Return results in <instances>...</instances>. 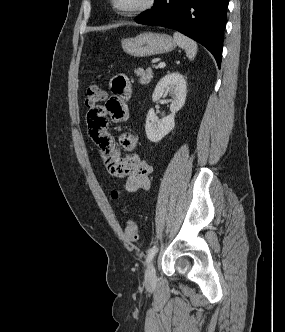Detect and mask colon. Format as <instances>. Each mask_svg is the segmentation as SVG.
<instances>
[{
  "mask_svg": "<svg viewBox=\"0 0 285 332\" xmlns=\"http://www.w3.org/2000/svg\"><path fill=\"white\" fill-rule=\"evenodd\" d=\"M84 95L87 107L93 109L98 107V105L105 99L106 92L101 85L94 83L86 88ZM111 196L112 198L117 199L119 197V192L113 190ZM125 234L130 241H136L139 238V226L137 222L132 220L129 221L125 227Z\"/></svg>",
  "mask_w": 285,
  "mask_h": 332,
  "instance_id": "5ec220e1",
  "label": "colon"
}]
</instances>
